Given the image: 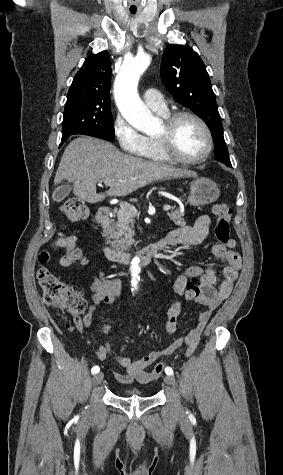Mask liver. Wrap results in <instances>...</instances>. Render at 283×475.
<instances>
[{
  "label": "liver",
  "mask_w": 283,
  "mask_h": 475,
  "mask_svg": "<svg viewBox=\"0 0 283 475\" xmlns=\"http://www.w3.org/2000/svg\"><path fill=\"white\" fill-rule=\"evenodd\" d=\"M192 176L196 178V172L127 156L105 140L76 138L64 150L54 184L62 180L73 182L77 200L96 204L105 198V194L96 192V184L102 178L116 180L107 196H127L157 180Z\"/></svg>",
  "instance_id": "1"
}]
</instances>
